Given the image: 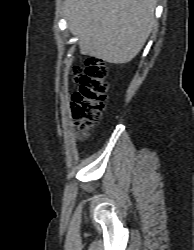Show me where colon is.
Segmentation results:
<instances>
[{
  "label": "colon",
  "instance_id": "5ec220e1",
  "mask_svg": "<svg viewBox=\"0 0 194 250\" xmlns=\"http://www.w3.org/2000/svg\"><path fill=\"white\" fill-rule=\"evenodd\" d=\"M108 76V67L94 58L86 60L83 70L74 69V82L78 89L72 96L71 113L82 135H86L101 117Z\"/></svg>",
  "mask_w": 194,
  "mask_h": 250
}]
</instances>
